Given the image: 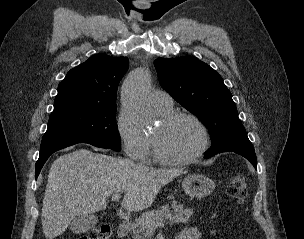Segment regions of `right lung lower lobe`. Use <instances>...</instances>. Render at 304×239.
Instances as JSON below:
<instances>
[{"label":"right lung lower lobe","instance_id":"98d812e1","mask_svg":"<svg viewBox=\"0 0 304 239\" xmlns=\"http://www.w3.org/2000/svg\"><path fill=\"white\" fill-rule=\"evenodd\" d=\"M77 143H88L91 144L93 146L96 147H100V148H109L105 145L102 144H98V143H92V142H81V141H62V142H54V143H46V144H41L40 146V155H39V159L36 163V179L41 171V168L43 167L44 163L46 162V160L49 158V156L51 154H53L54 152L63 149L65 147L77 144Z\"/></svg>","mask_w":304,"mask_h":239}]
</instances>
